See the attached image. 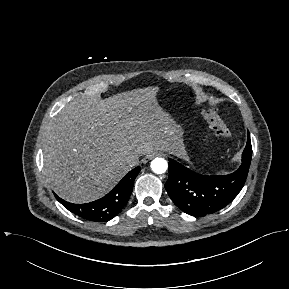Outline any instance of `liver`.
Masks as SVG:
<instances>
[{"instance_id":"liver-1","label":"liver","mask_w":289,"mask_h":289,"mask_svg":"<svg viewBox=\"0 0 289 289\" xmlns=\"http://www.w3.org/2000/svg\"><path fill=\"white\" fill-rule=\"evenodd\" d=\"M157 87L74 101L43 132L45 173L72 203L104 196L131 168L126 157L181 148L179 127L159 107Z\"/></svg>"}]
</instances>
